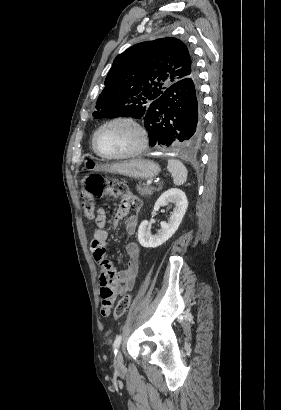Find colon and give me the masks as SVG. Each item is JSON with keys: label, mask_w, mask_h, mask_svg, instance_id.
Instances as JSON below:
<instances>
[{"label": "colon", "mask_w": 281, "mask_h": 410, "mask_svg": "<svg viewBox=\"0 0 281 410\" xmlns=\"http://www.w3.org/2000/svg\"><path fill=\"white\" fill-rule=\"evenodd\" d=\"M114 192L118 194L125 195L127 190L122 184H117L114 187ZM105 193V180L99 174H90L84 178V189L81 192L82 207L86 216L92 217L95 199L103 196ZM132 304V296L125 295L117 303L114 309L113 316L115 319L122 318L130 309ZM110 306V301L107 300L103 304V313L108 312V307Z\"/></svg>", "instance_id": "1"}]
</instances>
